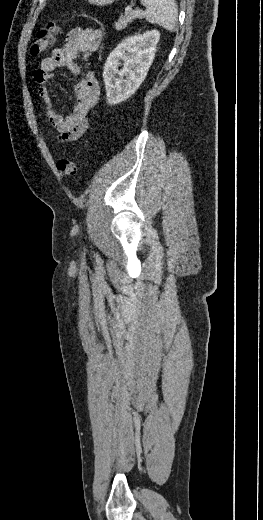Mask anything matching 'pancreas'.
I'll list each match as a JSON object with an SVG mask.
<instances>
[{
  "mask_svg": "<svg viewBox=\"0 0 263 520\" xmlns=\"http://www.w3.org/2000/svg\"><path fill=\"white\" fill-rule=\"evenodd\" d=\"M143 17L144 13L140 10L125 11L124 16H120L118 22L115 24V28L119 31L123 30L128 26V24L132 23L134 19H142Z\"/></svg>",
  "mask_w": 263,
  "mask_h": 520,
  "instance_id": "obj_1",
  "label": "pancreas"
}]
</instances>
